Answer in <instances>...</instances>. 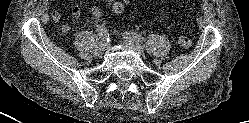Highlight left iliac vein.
I'll list each match as a JSON object with an SVG mask.
<instances>
[{"label": "left iliac vein", "instance_id": "left-iliac-vein-1", "mask_svg": "<svg viewBox=\"0 0 249 123\" xmlns=\"http://www.w3.org/2000/svg\"><path fill=\"white\" fill-rule=\"evenodd\" d=\"M124 40L127 44L132 46L140 55L144 54L143 48L141 47V44L139 41L128 36L127 34H124Z\"/></svg>", "mask_w": 249, "mask_h": 123}]
</instances>
